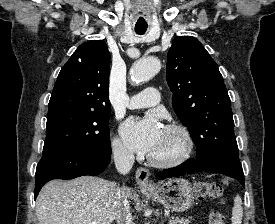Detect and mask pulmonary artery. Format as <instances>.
<instances>
[{
  "label": "pulmonary artery",
  "instance_id": "obj_1",
  "mask_svg": "<svg viewBox=\"0 0 275 224\" xmlns=\"http://www.w3.org/2000/svg\"><path fill=\"white\" fill-rule=\"evenodd\" d=\"M160 99V92L154 87H148L142 92L132 96L127 106L130 109L146 108L155 106Z\"/></svg>",
  "mask_w": 275,
  "mask_h": 224
}]
</instances>
